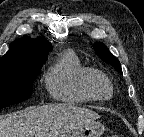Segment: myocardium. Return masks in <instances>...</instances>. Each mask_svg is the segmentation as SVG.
Masks as SVG:
<instances>
[{
	"label": "myocardium",
	"mask_w": 144,
	"mask_h": 137,
	"mask_svg": "<svg viewBox=\"0 0 144 137\" xmlns=\"http://www.w3.org/2000/svg\"><path fill=\"white\" fill-rule=\"evenodd\" d=\"M101 83H104L109 87L110 94L108 96H104L100 93L99 86ZM84 87L95 100L106 101L111 99L114 94V87L110 78L105 73L95 69H91L86 76Z\"/></svg>",
	"instance_id": "f54148a6"
}]
</instances>
